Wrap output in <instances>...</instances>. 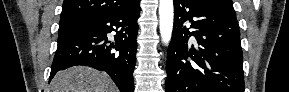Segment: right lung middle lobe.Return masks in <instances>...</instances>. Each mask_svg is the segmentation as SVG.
Segmentation results:
<instances>
[{"instance_id":"right-lung-middle-lobe-1","label":"right lung middle lobe","mask_w":289,"mask_h":92,"mask_svg":"<svg viewBox=\"0 0 289 92\" xmlns=\"http://www.w3.org/2000/svg\"><path fill=\"white\" fill-rule=\"evenodd\" d=\"M81 24H68V25H60L58 30V39L73 33L76 31Z\"/></svg>"}]
</instances>
